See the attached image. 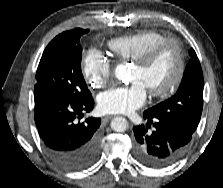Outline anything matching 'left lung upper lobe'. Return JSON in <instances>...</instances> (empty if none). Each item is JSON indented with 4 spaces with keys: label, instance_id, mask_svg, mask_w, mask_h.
<instances>
[{
    "label": "left lung upper lobe",
    "instance_id": "left-lung-upper-lobe-1",
    "mask_svg": "<svg viewBox=\"0 0 223 188\" xmlns=\"http://www.w3.org/2000/svg\"><path fill=\"white\" fill-rule=\"evenodd\" d=\"M189 54L191 59L176 94L145 113L193 134L203 109V73L195 51L190 49Z\"/></svg>",
    "mask_w": 223,
    "mask_h": 188
}]
</instances>
